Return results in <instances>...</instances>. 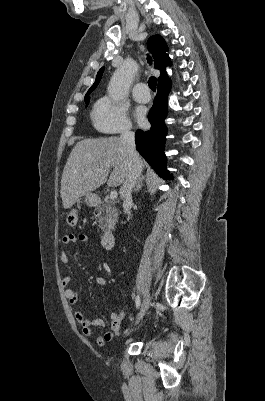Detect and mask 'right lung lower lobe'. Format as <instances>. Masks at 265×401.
Masks as SVG:
<instances>
[{
    "label": "right lung lower lobe",
    "instance_id": "1",
    "mask_svg": "<svg viewBox=\"0 0 265 401\" xmlns=\"http://www.w3.org/2000/svg\"><path fill=\"white\" fill-rule=\"evenodd\" d=\"M169 91L170 86H158L154 104L148 114L151 129L149 131L137 130L135 133L138 152L164 178L171 177L170 173L165 169L164 143L167 128L163 122L168 112L167 97Z\"/></svg>",
    "mask_w": 265,
    "mask_h": 401
}]
</instances>
